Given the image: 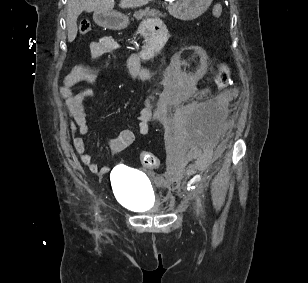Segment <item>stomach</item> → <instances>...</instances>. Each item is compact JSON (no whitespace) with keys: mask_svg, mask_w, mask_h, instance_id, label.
Returning a JSON list of instances; mask_svg holds the SVG:
<instances>
[{"mask_svg":"<svg viewBox=\"0 0 308 283\" xmlns=\"http://www.w3.org/2000/svg\"><path fill=\"white\" fill-rule=\"evenodd\" d=\"M212 0H172L167 9L177 19L189 21L198 18L211 5ZM95 22L111 30H121L128 26V17L119 13L95 12Z\"/></svg>","mask_w":308,"mask_h":283,"instance_id":"obj_1","label":"stomach"}]
</instances>
